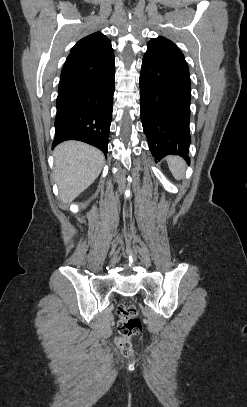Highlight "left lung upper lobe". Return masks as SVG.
<instances>
[{
	"instance_id": "5c2ea615",
	"label": "left lung upper lobe",
	"mask_w": 247,
	"mask_h": 407,
	"mask_svg": "<svg viewBox=\"0 0 247 407\" xmlns=\"http://www.w3.org/2000/svg\"><path fill=\"white\" fill-rule=\"evenodd\" d=\"M148 52H153L165 58L185 61L184 55L179 48L170 40L164 37H158L148 42Z\"/></svg>"
}]
</instances>
